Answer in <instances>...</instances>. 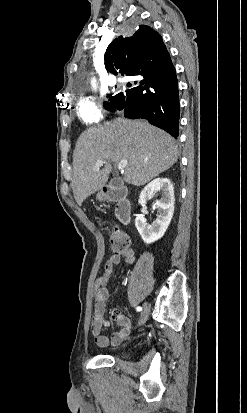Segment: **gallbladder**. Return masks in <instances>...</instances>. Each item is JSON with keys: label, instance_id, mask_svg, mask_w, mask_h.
<instances>
[{"label": "gallbladder", "instance_id": "bac80fb5", "mask_svg": "<svg viewBox=\"0 0 247 413\" xmlns=\"http://www.w3.org/2000/svg\"><path fill=\"white\" fill-rule=\"evenodd\" d=\"M109 184H111V186H118V178H112Z\"/></svg>", "mask_w": 247, "mask_h": 413}]
</instances>
